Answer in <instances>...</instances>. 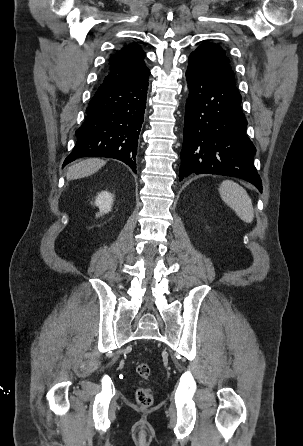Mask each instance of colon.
I'll return each instance as SVG.
<instances>
[{
    "label": "colon",
    "instance_id": "5ec220e1",
    "mask_svg": "<svg viewBox=\"0 0 303 446\" xmlns=\"http://www.w3.org/2000/svg\"><path fill=\"white\" fill-rule=\"evenodd\" d=\"M136 372L144 380H149L151 377V368L148 363H139L136 367ZM153 393L148 387H140L136 392L137 403L144 408H148L153 404Z\"/></svg>",
    "mask_w": 303,
    "mask_h": 446
}]
</instances>
